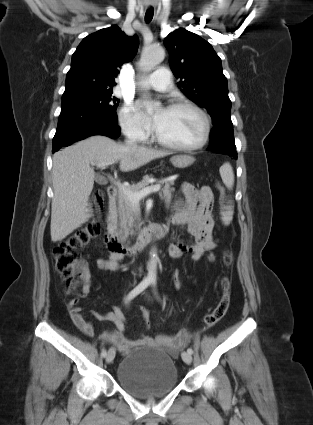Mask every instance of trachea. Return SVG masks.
<instances>
[{
	"label": "trachea",
	"instance_id": "obj_1",
	"mask_svg": "<svg viewBox=\"0 0 313 425\" xmlns=\"http://www.w3.org/2000/svg\"><path fill=\"white\" fill-rule=\"evenodd\" d=\"M153 15H154L153 9L147 10L145 13V21L150 22L153 18Z\"/></svg>",
	"mask_w": 313,
	"mask_h": 425
}]
</instances>
